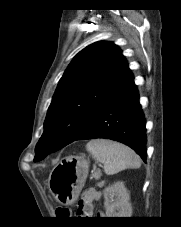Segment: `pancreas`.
Listing matches in <instances>:
<instances>
[{"label":"pancreas","mask_w":181,"mask_h":227,"mask_svg":"<svg viewBox=\"0 0 181 227\" xmlns=\"http://www.w3.org/2000/svg\"><path fill=\"white\" fill-rule=\"evenodd\" d=\"M94 177L96 178V179H99L100 178V174H94ZM103 185V183H97V186H99V187H101Z\"/></svg>","instance_id":"1"}]
</instances>
